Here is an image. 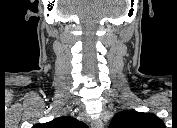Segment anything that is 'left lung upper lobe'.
<instances>
[{"mask_svg":"<svg viewBox=\"0 0 177 128\" xmlns=\"http://www.w3.org/2000/svg\"><path fill=\"white\" fill-rule=\"evenodd\" d=\"M163 126V121L153 113L125 110L113 117L109 128H159Z\"/></svg>","mask_w":177,"mask_h":128,"instance_id":"1","label":"left lung upper lobe"}]
</instances>
